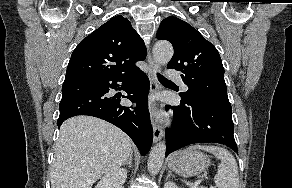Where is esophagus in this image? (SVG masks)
I'll return each mask as SVG.
<instances>
[{
	"instance_id": "esophagus-1",
	"label": "esophagus",
	"mask_w": 292,
	"mask_h": 188,
	"mask_svg": "<svg viewBox=\"0 0 292 188\" xmlns=\"http://www.w3.org/2000/svg\"><path fill=\"white\" fill-rule=\"evenodd\" d=\"M160 70L159 65L153 59L151 52H148V76L150 79V91L152 94L156 93L160 89L159 82L157 80V72ZM163 128L157 122H153V142L160 141L163 137Z\"/></svg>"
}]
</instances>
